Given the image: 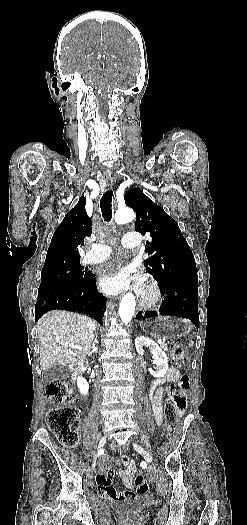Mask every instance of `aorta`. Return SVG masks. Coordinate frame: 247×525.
Here are the masks:
<instances>
[{"label":"aorta","mask_w":247,"mask_h":525,"mask_svg":"<svg viewBox=\"0 0 247 525\" xmlns=\"http://www.w3.org/2000/svg\"><path fill=\"white\" fill-rule=\"evenodd\" d=\"M134 211L130 208H122L116 211L115 222L117 224H125L134 220ZM135 311V297L132 293H126L120 303L119 316L124 324H128Z\"/></svg>","instance_id":"762f6f07"}]
</instances>
